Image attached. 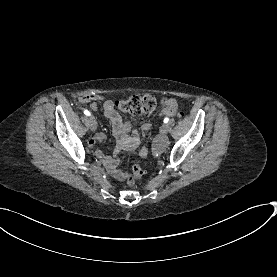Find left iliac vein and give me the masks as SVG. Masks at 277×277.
<instances>
[{"instance_id":"left-iliac-vein-1","label":"left iliac vein","mask_w":277,"mask_h":277,"mask_svg":"<svg viewBox=\"0 0 277 277\" xmlns=\"http://www.w3.org/2000/svg\"><path fill=\"white\" fill-rule=\"evenodd\" d=\"M168 128H169V127H168L167 124H163V125L161 126V128H160L161 133H162V134H167Z\"/></svg>"}]
</instances>
